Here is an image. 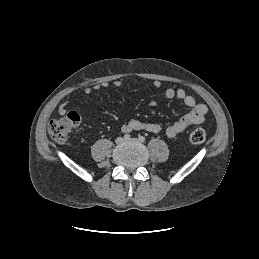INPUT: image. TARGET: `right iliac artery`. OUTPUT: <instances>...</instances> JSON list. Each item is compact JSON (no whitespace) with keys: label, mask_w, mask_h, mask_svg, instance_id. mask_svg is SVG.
Returning <instances> with one entry per match:
<instances>
[{"label":"right iliac artery","mask_w":259,"mask_h":259,"mask_svg":"<svg viewBox=\"0 0 259 259\" xmlns=\"http://www.w3.org/2000/svg\"><path fill=\"white\" fill-rule=\"evenodd\" d=\"M130 138H131V135H130V134H125V135H124V139L128 140V139H130Z\"/></svg>","instance_id":"1"}]
</instances>
